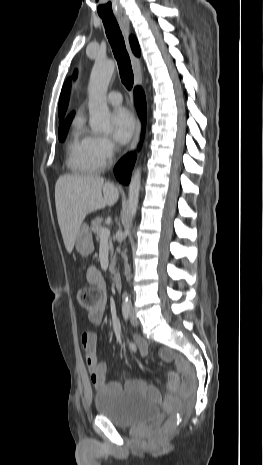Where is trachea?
Listing matches in <instances>:
<instances>
[{
	"label": "trachea",
	"mask_w": 263,
	"mask_h": 465,
	"mask_svg": "<svg viewBox=\"0 0 263 465\" xmlns=\"http://www.w3.org/2000/svg\"><path fill=\"white\" fill-rule=\"evenodd\" d=\"M105 32L117 60L122 83L130 90L134 83L131 61L118 22L114 16H101Z\"/></svg>",
	"instance_id": "obj_1"
}]
</instances>
